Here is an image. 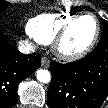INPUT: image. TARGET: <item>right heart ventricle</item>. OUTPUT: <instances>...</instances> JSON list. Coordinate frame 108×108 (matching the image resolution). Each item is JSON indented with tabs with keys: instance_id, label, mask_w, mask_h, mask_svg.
I'll return each mask as SVG.
<instances>
[{
	"instance_id": "1",
	"label": "right heart ventricle",
	"mask_w": 108,
	"mask_h": 108,
	"mask_svg": "<svg viewBox=\"0 0 108 108\" xmlns=\"http://www.w3.org/2000/svg\"><path fill=\"white\" fill-rule=\"evenodd\" d=\"M74 16V13L68 12L41 14L29 21L27 29L38 42L50 44L61 28Z\"/></svg>"
}]
</instances>
